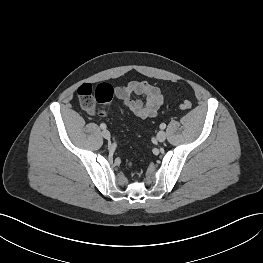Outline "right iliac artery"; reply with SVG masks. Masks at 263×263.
Returning a JSON list of instances; mask_svg holds the SVG:
<instances>
[{
    "label": "right iliac artery",
    "mask_w": 263,
    "mask_h": 263,
    "mask_svg": "<svg viewBox=\"0 0 263 263\" xmlns=\"http://www.w3.org/2000/svg\"><path fill=\"white\" fill-rule=\"evenodd\" d=\"M106 127H107L106 124H104V123H101V124H100V128H101V129H106Z\"/></svg>",
    "instance_id": "obj_1"
}]
</instances>
